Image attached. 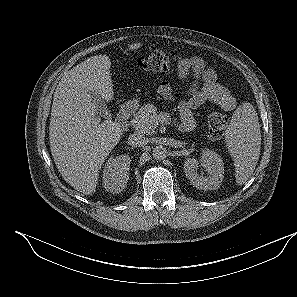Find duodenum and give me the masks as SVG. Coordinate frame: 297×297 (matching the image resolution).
Returning a JSON list of instances; mask_svg holds the SVG:
<instances>
[{
    "instance_id": "410a0bca",
    "label": "duodenum",
    "mask_w": 297,
    "mask_h": 297,
    "mask_svg": "<svg viewBox=\"0 0 297 297\" xmlns=\"http://www.w3.org/2000/svg\"><path fill=\"white\" fill-rule=\"evenodd\" d=\"M136 107L137 103L134 101L127 102L121 106L116 118V123L121 129L125 130L127 128L128 120L135 112Z\"/></svg>"
}]
</instances>
